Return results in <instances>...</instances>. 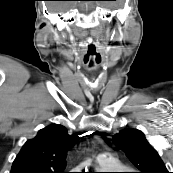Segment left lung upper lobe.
Listing matches in <instances>:
<instances>
[{"instance_id": "5c2ea615", "label": "left lung upper lobe", "mask_w": 173, "mask_h": 173, "mask_svg": "<svg viewBox=\"0 0 173 173\" xmlns=\"http://www.w3.org/2000/svg\"><path fill=\"white\" fill-rule=\"evenodd\" d=\"M112 141L126 153L140 173H169L158 152L140 130H123L115 134Z\"/></svg>"}]
</instances>
